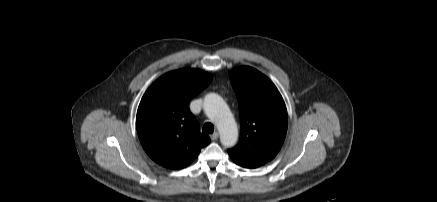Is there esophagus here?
<instances>
[{
	"instance_id": "1",
	"label": "esophagus",
	"mask_w": 437,
	"mask_h": 202,
	"mask_svg": "<svg viewBox=\"0 0 437 202\" xmlns=\"http://www.w3.org/2000/svg\"><path fill=\"white\" fill-rule=\"evenodd\" d=\"M219 134L217 132L210 135L211 140L215 141L218 139Z\"/></svg>"
}]
</instances>
